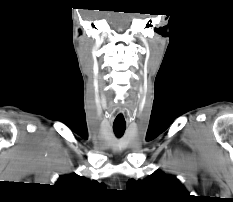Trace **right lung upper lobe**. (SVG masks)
Here are the masks:
<instances>
[{"label":"right lung upper lobe","mask_w":233,"mask_h":202,"mask_svg":"<svg viewBox=\"0 0 233 202\" xmlns=\"http://www.w3.org/2000/svg\"><path fill=\"white\" fill-rule=\"evenodd\" d=\"M56 185L68 189L84 190L91 187H97L101 184H99L97 181H91L77 174H70L59 177Z\"/></svg>","instance_id":"cb5924a9"}]
</instances>
